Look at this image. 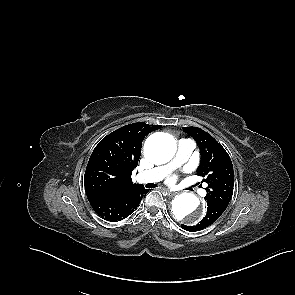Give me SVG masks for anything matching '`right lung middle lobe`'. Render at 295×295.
I'll return each instance as SVG.
<instances>
[{"label":"right lung middle lobe","instance_id":"right-lung-middle-lobe-1","mask_svg":"<svg viewBox=\"0 0 295 295\" xmlns=\"http://www.w3.org/2000/svg\"><path fill=\"white\" fill-rule=\"evenodd\" d=\"M114 168L100 159L89 160L85 172V190L96 195L110 187L114 180Z\"/></svg>","mask_w":295,"mask_h":295}]
</instances>
